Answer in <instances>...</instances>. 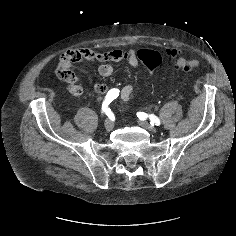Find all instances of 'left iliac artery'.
Here are the masks:
<instances>
[{
  "mask_svg": "<svg viewBox=\"0 0 236 236\" xmlns=\"http://www.w3.org/2000/svg\"><path fill=\"white\" fill-rule=\"evenodd\" d=\"M137 116H138L141 120H143V119H145L148 115H147L146 113L140 112V113H137ZM149 117H150V120H151V124H152L153 126H154V125H156V126H159V125H160V120H159V118H158L157 116L151 114Z\"/></svg>",
  "mask_w": 236,
  "mask_h": 236,
  "instance_id": "44dca946",
  "label": "left iliac artery"
}]
</instances>
